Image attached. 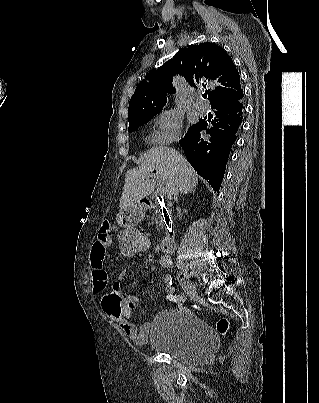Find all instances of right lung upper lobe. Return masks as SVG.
Here are the masks:
<instances>
[{
  "label": "right lung upper lobe",
  "mask_w": 319,
  "mask_h": 403,
  "mask_svg": "<svg viewBox=\"0 0 319 403\" xmlns=\"http://www.w3.org/2000/svg\"><path fill=\"white\" fill-rule=\"evenodd\" d=\"M178 73L191 86L212 85L208 94L211 106L243 94L238 70L222 47L212 43L191 45L158 69L150 71L138 84L129 103V122L162 108L167 101L166 93L174 92L173 75Z\"/></svg>",
  "instance_id": "right-lung-upper-lobe-1"
}]
</instances>
